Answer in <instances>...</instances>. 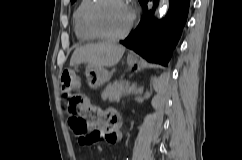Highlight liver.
<instances>
[{
    "instance_id": "1",
    "label": "liver",
    "mask_w": 242,
    "mask_h": 160,
    "mask_svg": "<svg viewBox=\"0 0 242 160\" xmlns=\"http://www.w3.org/2000/svg\"><path fill=\"white\" fill-rule=\"evenodd\" d=\"M125 47L110 42L88 44L77 48L70 59V66L87 63L92 67H113L122 58Z\"/></svg>"
}]
</instances>
